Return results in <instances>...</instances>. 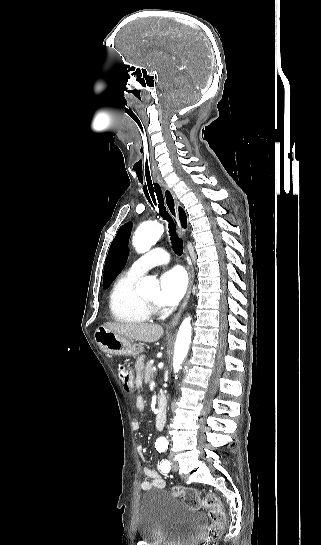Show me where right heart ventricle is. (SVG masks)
<instances>
[{
  "label": "right heart ventricle",
  "mask_w": 321,
  "mask_h": 545,
  "mask_svg": "<svg viewBox=\"0 0 321 545\" xmlns=\"http://www.w3.org/2000/svg\"><path fill=\"white\" fill-rule=\"evenodd\" d=\"M139 276L129 271L121 272L110 291L108 308L115 322L123 325L142 324L151 321L154 313L142 307L137 298V280ZM164 316L165 312L159 314Z\"/></svg>",
  "instance_id": "1"
}]
</instances>
